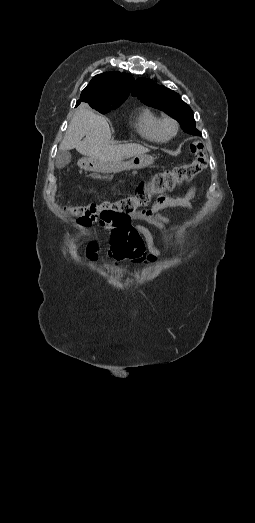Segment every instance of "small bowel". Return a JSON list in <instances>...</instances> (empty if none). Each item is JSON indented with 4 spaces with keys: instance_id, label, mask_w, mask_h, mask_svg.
<instances>
[{
    "instance_id": "1",
    "label": "small bowel",
    "mask_w": 255,
    "mask_h": 523,
    "mask_svg": "<svg viewBox=\"0 0 255 523\" xmlns=\"http://www.w3.org/2000/svg\"><path fill=\"white\" fill-rule=\"evenodd\" d=\"M195 189L189 188L184 196L167 197L159 200L150 209L135 211L129 216L128 221L122 226H114L101 222L102 226L110 228V247L107 256L115 262L127 260L134 264H148L155 262L168 248L169 237L166 225L171 221L159 212L168 208L193 209ZM132 220H141L154 226L162 235L164 240V250L156 247L151 231L141 225L133 224ZM98 245L90 242L86 248V256L94 261L98 258Z\"/></svg>"
}]
</instances>
